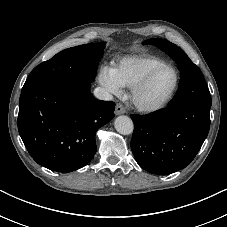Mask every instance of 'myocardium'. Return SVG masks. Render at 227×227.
I'll use <instances>...</instances> for the list:
<instances>
[{
	"label": "myocardium",
	"mask_w": 227,
	"mask_h": 227,
	"mask_svg": "<svg viewBox=\"0 0 227 227\" xmlns=\"http://www.w3.org/2000/svg\"><path fill=\"white\" fill-rule=\"evenodd\" d=\"M172 69L175 73V84L170 91V93L166 96L164 100L161 102L155 104V105H145L142 104L139 100V97L141 93L144 91V89L148 86V84L151 82V80L154 78V76L162 71L163 69ZM180 85V74L177 68L171 64H163L160 65L151 71H149L139 82H137L132 88H131V94H130V100L132 105L135 107L136 110L142 113H155L158 112L165 107L169 105V103L173 100L178 88Z\"/></svg>",
	"instance_id": "1"
}]
</instances>
